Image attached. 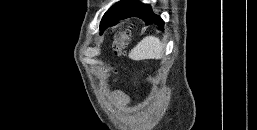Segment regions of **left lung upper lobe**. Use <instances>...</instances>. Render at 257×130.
Wrapping results in <instances>:
<instances>
[{
    "instance_id": "1",
    "label": "left lung upper lobe",
    "mask_w": 257,
    "mask_h": 130,
    "mask_svg": "<svg viewBox=\"0 0 257 130\" xmlns=\"http://www.w3.org/2000/svg\"><path fill=\"white\" fill-rule=\"evenodd\" d=\"M128 0H122L118 3H116L115 5H113L103 16L101 23H100V28H103L106 24V19L112 14V12L119 7H122L123 5H125L126 3H128Z\"/></svg>"
}]
</instances>
